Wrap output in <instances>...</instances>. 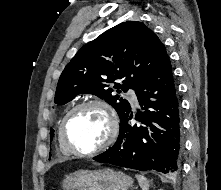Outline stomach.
Listing matches in <instances>:
<instances>
[{"instance_id": "obj_1", "label": "stomach", "mask_w": 221, "mask_h": 190, "mask_svg": "<svg viewBox=\"0 0 221 190\" xmlns=\"http://www.w3.org/2000/svg\"><path fill=\"white\" fill-rule=\"evenodd\" d=\"M132 185L131 177L112 169L78 170L62 182L64 190H128Z\"/></svg>"}]
</instances>
